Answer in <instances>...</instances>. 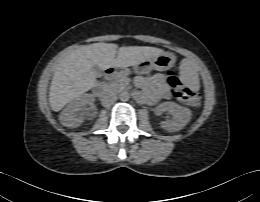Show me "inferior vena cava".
Returning a JSON list of instances; mask_svg holds the SVG:
<instances>
[{
  "mask_svg": "<svg viewBox=\"0 0 260 202\" xmlns=\"http://www.w3.org/2000/svg\"><path fill=\"white\" fill-rule=\"evenodd\" d=\"M116 100H117L116 96H115V95H112V94H110V95H105V96L101 99L102 104H103L104 106H106V107H108V106L114 104V103L116 102Z\"/></svg>",
  "mask_w": 260,
  "mask_h": 202,
  "instance_id": "602c4592",
  "label": "inferior vena cava"
}]
</instances>
